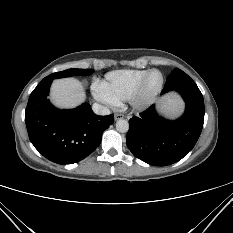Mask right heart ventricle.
<instances>
[{
	"instance_id": "1",
	"label": "right heart ventricle",
	"mask_w": 233,
	"mask_h": 233,
	"mask_svg": "<svg viewBox=\"0 0 233 233\" xmlns=\"http://www.w3.org/2000/svg\"><path fill=\"white\" fill-rule=\"evenodd\" d=\"M144 69H126L112 71L106 74L101 83L109 95L120 103L128 100L141 78L147 73Z\"/></svg>"
}]
</instances>
